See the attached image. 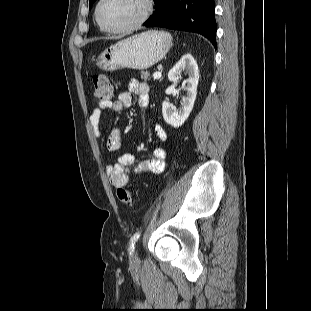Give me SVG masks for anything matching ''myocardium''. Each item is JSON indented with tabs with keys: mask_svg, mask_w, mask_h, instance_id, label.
Here are the masks:
<instances>
[{
	"mask_svg": "<svg viewBox=\"0 0 311 311\" xmlns=\"http://www.w3.org/2000/svg\"><path fill=\"white\" fill-rule=\"evenodd\" d=\"M105 0H99L96 8H95V19L97 21V23L99 24V26L104 29L107 32L110 33H129L132 32L136 29H138L139 27H141L148 19L150 11H151V2L150 0H140L141 4H142V11L140 16L133 21L132 23H130L127 26L124 27H120V28H114L111 27L109 25H107L106 23H104L100 17V9L102 4L104 3Z\"/></svg>",
	"mask_w": 311,
	"mask_h": 311,
	"instance_id": "obj_1",
	"label": "myocardium"
}]
</instances>
